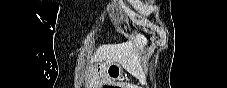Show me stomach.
<instances>
[{"mask_svg":"<svg viewBox=\"0 0 227 88\" xmlns=\"http://www.w3.org/2000/svg\"><path fill=\"white\" fill-rule=\"evenodd\" d=\"M106 73L108 77L112 80H118L122 77V68L117 63H111L106 67Z\"/></svg>","mask_w":227,"mask_h":88,"instance_id":"stomach-1","label":"stomach"}]
</instances>
